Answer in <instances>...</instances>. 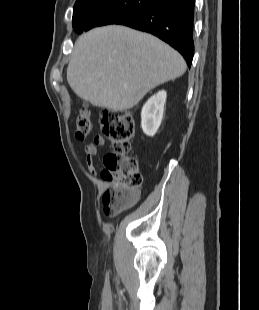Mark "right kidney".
Masks as SVG:
<instances>
[{"instance_id":"obj_1","label":"right kidney","mask_w":259,"mask_h":310,"mask_svg":"<svg viewBox=\"0 0 259 310\" xmlns=\"http://www.w3.org/2000/svg\"><path fill=\"white\" fill-rule=\"evenodd\" d=\"M166 96V91H159L142 108L141 127L147 136H154L161 124Z\"/></svg>"}]
</instances>
